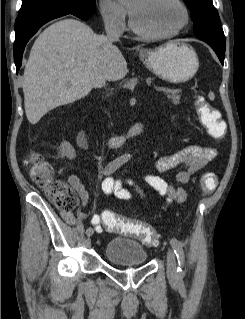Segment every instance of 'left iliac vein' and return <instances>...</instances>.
<instances>
[{
	"mask_svg": "<svg viewBox=\"0 0 245 319\" xmlns=\"http://www.w3.org/2000/svg\"><path fill=\"white\" fill-rule=\"evenodd\" d=\"M176 257L174 252L171 249L167 251V275L168 279L171 282H176L178 279L177 272H176Z\"/></svg>",
	"mask_w": 245,
	"mask_h": 319,
	"instance_id": "obj_1",
	"label": "left iliac vein"
}]
</instances>
